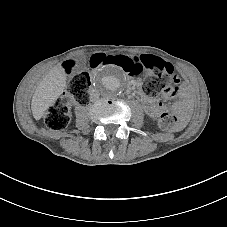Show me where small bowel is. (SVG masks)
Wrapping results in <instances>:
<instances>
[{
  "label": "small bowel",
  "instance_id": "1",
  "mask_svg": "<svg viewBox=\"0 0 227 227\" xmlns=\"http://www.w3.org/2000/svg\"><path fill=\"white\" fill-rule=\"evenodd\" d=\"M139 94L142 101L144 102V109L148 116L155 118L165 111V106L161 102L156 101L153 97L146 94L144 90H140ZM187 94L189 93L187 92ZM173 111L180 114L184 121L187 117V104H175L173 106Z\"/></svg>",
  "mask_w": 227,
  "mask_h": 227
}]
</instances>
